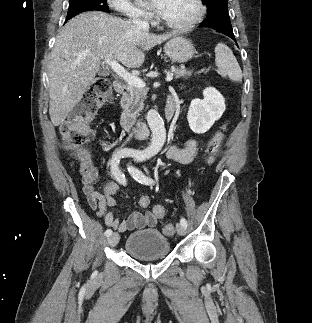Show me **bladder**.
<instances>
[{
	"instance_id": "1",
	"label": "bladder",
	"mask_w": 312,
	"mask_h": 323,
	"mask_svg": "<svg viewBox=\"0 0 312 323\" xmlns=\"http://www.w3.org/2000/svg\"><path fill=\"white\" fill-rule=\"evenodd\" d=\"M127 254L140 260L161 258L168 255L170 241L158 229L131 233L125 240Z\"/></svg>"
}]
</instances>
